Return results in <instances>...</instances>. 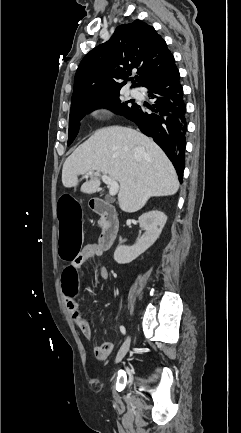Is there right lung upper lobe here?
Instances as JSON below:
<instances>
[{
  "instance_id": "1",
  "label": "right lung upper lobe",
  "mask_w": 241,
  "mask_h": 433,
  "mask_svg": "<svg viewBox=\"0 0 241 433\" xmlns=\"http://www.w3.org/2000/svg\"><path fill=\"white\" fill-rule=\"evenodd\" d=\"M174 62L166 42L148 24L135 20L120 25L112 37L82 59L74 79L71 105L119 93L133 69L144 86ZM124 81L119 83L118 80Z\"/></svg>"
}]
</instances>
